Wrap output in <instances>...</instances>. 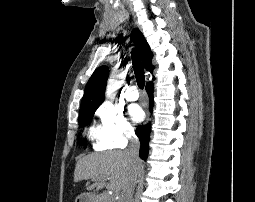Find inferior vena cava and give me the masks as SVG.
I'll use <instances>...</instances> for the list:
<instances>
[{"instance_id": "obj_1", "label": "inferior vena cava", "mask_w": 255, "mask_h": 202, "mask_svg": "<svg viewBox=\"0 0 255 202\" xmlns=\"http://www.w3.org/2000/svg\"><path fill=\"white\" fill-rule=\"evenodd\" d=\"M129 140H130L129 147L124 152L129 157V159L133 163V165L135 166V172H134V176H133L131 182L129 183V185L125 189H123L119 202H131V199H132V196L134 193V189H135V185L137 182V177L139 174L138 168H139V164H140V159H139L140 144H139L138 138L135 136L133 131L130 132V134H129Z\"/></svg>"}]
</instances>
